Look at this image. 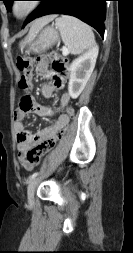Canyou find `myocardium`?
Listing matches in <instances>:
<instances>
[{"label":"myocardium","mask_w":133,"mask_h":253,"mask_svg":"<svg viewBox=\"0 0 133 253\" xmlns=\"http://www.w3.org/2000/svg\"><path fill=\"white\" fill-rule=\"evenodd\" d=\"M20 2L22 1L16 0L11 5V11H12L13 16L19 20L27 18L39 7L38 0H29V1H26L28 2V7L23 12H18L17 6H18V3Z\"/></svg>","instance_id":"1"}]
</instances>
